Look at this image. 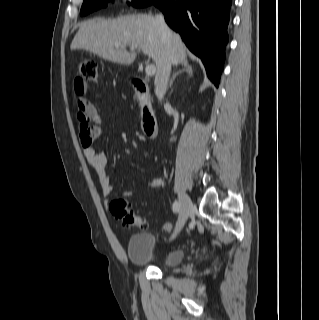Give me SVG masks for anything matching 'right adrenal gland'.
I'll return each instance as SVG.
<instances>
[{
	"mask_svg": "<svg viewBox=\"0 0 319 320\" xmlns=\"http://www.w3.org/2000/svg\"><path fill=\"white\" fill-rule=\"evenodd\" d=\"M182 66L184 67L182 70H179L177 72H175L170 80V83H169V87L172 86L176 76L179 74V73H182L183 71H186L188 73L189 76L193 75V70H192V67L191 65H189L188 61L187 60H184V62L182 63Z\"/></svg>",
	"mask_w": 319,
	"mask_h": 320,
	"instance_id": "2a0ac1e0",
	"label": "right adrenal gland"
}]
</instances>
